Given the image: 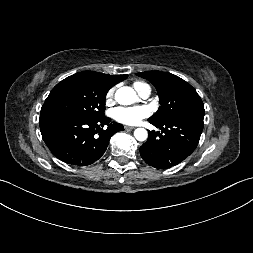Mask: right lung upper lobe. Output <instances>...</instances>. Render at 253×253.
<instances>
[{
    "label": "right lung upper lobe",
    "instance_id": "1",
    "mask_svg": "<svg viewBox=\"0 0 253 253\" xmlns=\"http://www.w3.org/2000/svg\"><path fill=\"white\" fill-rule=\"evenodd\" d=\"M97 75L102 81H104L108 86L113 87L115 84L123 81L127 78V75H108L99 72L90 71Z\"/></svg>",
    "mask_w": 253,
    "mask_h": 253
}]
</instances>
